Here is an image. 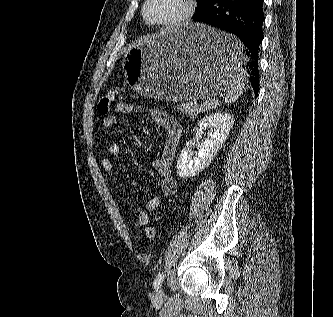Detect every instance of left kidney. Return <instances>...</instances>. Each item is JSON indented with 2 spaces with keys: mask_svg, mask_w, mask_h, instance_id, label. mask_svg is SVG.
Instances as JSON below:
<instances>
[{
  "mask_svg": "<svg viewBox=\"0 0 333 317\" xmlns=\"http://www.w3.org/2000/svg\"><path fill=\"white\" fill-rule=\"evenodd\" d=\"M234 124V118L228 113L217 112L206 115L198 122L197 131L208 130L207 138L199 144L195 157L185 147L177 161V174L185 179L202 172L214 159Z\"/></svg>",
  "mask_w": 333,
  "mask_h": 317,
  "instance_id": "5707ae66",
  "label": "left kidney"
}]
</instances>
